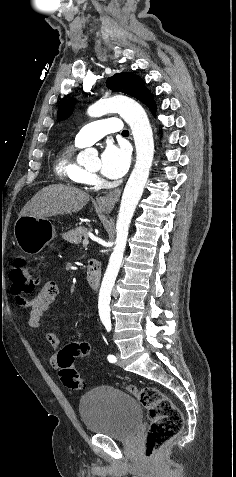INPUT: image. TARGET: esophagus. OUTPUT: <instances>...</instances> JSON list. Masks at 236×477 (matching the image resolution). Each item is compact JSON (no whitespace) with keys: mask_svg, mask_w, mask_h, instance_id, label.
Here are the masks:
<instances>
[{"mask_svg":"<svg viewBox=\"0 0 236 477\" xmlns=\"http://www.w3.org/2000/svg\"><path fill=\"white\" fill-rule=\"evenodd\" d=\"M121 194V189H115L108 194L99 197L97 199L98 205L106 210H112L115 206V204L118 202Z\"/></svg>","mask_w":236,"mask_h":477,"instance_id":"1","label":"esophagus"}]
</instances>
